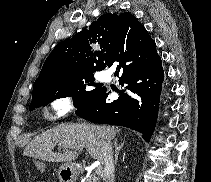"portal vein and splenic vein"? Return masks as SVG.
<instances>
[{
  "label": "portal vein and splenic vein",
  "instance_id": "1",
  "mask_svg": "<svg viewBox=\"0 0 211 182\" xmlns=\"http://www.w3.org/2000/svg\"><path fill=\"white\" fill-rule=\"evenodd\" d=\"M69 149H75V150H78V151H82L83 150V147H72V148H69ZM95 172L97 174H101V167H100V165L97 166Z\"/></svg>",
  "mask_w": 211,
  "mask_h": 182
}]
</instances>
